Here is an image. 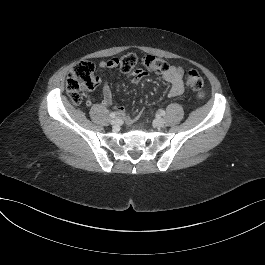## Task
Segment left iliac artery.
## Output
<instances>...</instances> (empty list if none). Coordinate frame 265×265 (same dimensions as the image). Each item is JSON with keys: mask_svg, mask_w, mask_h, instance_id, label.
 Segmentation results:
<instances>
[{"mask_svg": "<svg viewBox=\"0 0 265 265\" xmlns=\"http://www.w3.org/2000/svg\"><path fill=\"white\" fill-rule=\"evenodd\" d=\"M160 114H161L162 116H164V115H165V111H164V110H160Z\"/></svg>", "mask_w": 265, "mask_h": 265, "instance_id": "left-iliac-artery-1", "label": "left iliac artery"}]
</instances>
